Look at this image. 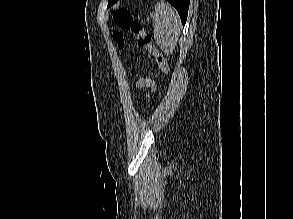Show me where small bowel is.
<instances>
[{
    "instance_id": "small-bowel-1",
    "label": "small bowel",
    "mask_w": 293,
    "mask_h": 219,
    "mask_svg": "<svg viewBox=\"0 0 293 219\" xmlns=\"http://www.w3.org/2000/svg\"><path fill=\"white\" fill-rule=\"evenodd\" d=\"M137 84L140 87H154V83L149 79H141Z\"/></svg>"
}]
</instances>
